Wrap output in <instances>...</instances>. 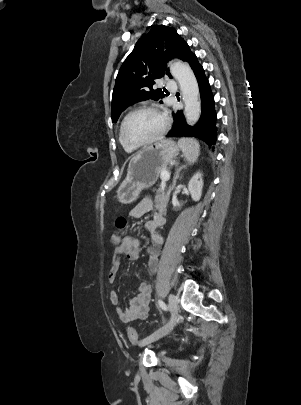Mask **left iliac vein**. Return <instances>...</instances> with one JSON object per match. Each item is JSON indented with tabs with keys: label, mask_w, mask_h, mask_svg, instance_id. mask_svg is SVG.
Wrapping results in <instances>:
<instances>
[{
	"label": "left iliac vein",
	"mask_w": 301,
	"mask_h": 405,
	"mask_svg": "<svg viewBox=\"0 0 301 405\" xmlns=\"http://www.w3.org/2000/svg\"><path fill=\"white\" fill-rule=\"evenodd\" d=\"M168 303H169V308H170L171 313H172L171 320L165 326H163L159 330L155 331L151 335L144 338L139 344L140 347H144V346H146V345H148V344L162 338L163 336L168 334L171 331V329L173 328V326L175 325L176 317H177V314H178V300H177V297L172 293L169 294Z\"/></svg>",
	"instance_id": "left-iliac-vein-1"
}]
</instances>
